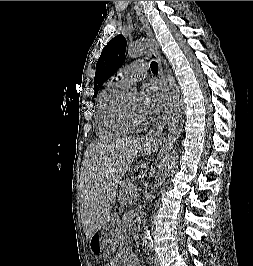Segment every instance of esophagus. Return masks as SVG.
<instances>
[{
    "label": "esophagus",
    "instance_id": "obj_1",
    "mask_svg": "<svg viewBox=\"0 0 253 266\" xmlns=\"http://www.w3.org/2000/svg\"><path fill=\"white\" fill-rule=\"evenodd\" d=\"M135 8H136L137 14L139 16V20H140L141 24L143 25V29L146 32L149 40L152 43L153 48L151 49V56L155 57L157 59L158 74H159V77H160L161 81L163 82L165 89L168 93L170 89H169V86L167 84L164 72H163L162 59H161V56L159 55L158 50H157V42L153 36L152 30H151L146 18L143 16V14L141 13V11L139 10V8L136 4H135ZM168 106H169V100L167 101V103L165 105V109H164V112H163L160 120L157 122L155 127L146 135L145 141L147 143H150V142H153V141L159 139L160 136L162 135L163 129H164L165 124H166Z\"/></svg>",
    "mask_w": 253,
    "mask_h": 266
}]
</instances>
